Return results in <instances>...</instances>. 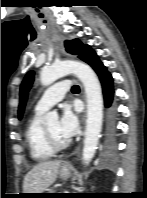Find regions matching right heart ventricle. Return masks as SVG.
<instances>
[{"mask_svg":"<svg viewBox=\"0 0 147 198\" xmlns=\"http://www.w3.org/2000/svg\"><path fill=\"white\" fill-rule=\"evenodd\" d=\"M42 115L43 112L35 110L29 118L25 129V140L29 154L36 162L49 160L54 155L45 140L44 127L41 123Z\"/></svg>","mask_w":147,"mask_h":198,"instance_id":"e07e8e85","label":"right heart ventricle"}]
</instances>
